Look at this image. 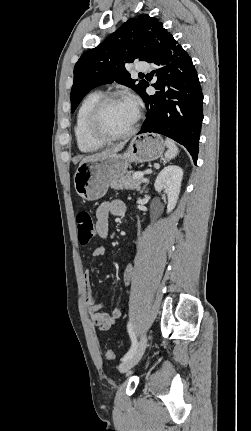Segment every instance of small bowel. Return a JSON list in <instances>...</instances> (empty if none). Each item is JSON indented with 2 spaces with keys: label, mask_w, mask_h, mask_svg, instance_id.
<instances>
[{
  "label": "small bowel",
  "mask_w": 251,
  "mask_h": 431,
  "mask_svg": "<svg viewBox=\"0 0 251 431\" xmlns=\"http://www.w3.org/2000/svg\"><path fill=\"white\" fill-rule=\"evenodd\" d=\"M126 212L124 202L114 200L104 202L96 210V231L100 238L107 239L109 236V219L113 217H121ZM106 249L104 246H98L94 249L92 257L96 261L84 273L83 294L86 309L91 320V323L101 331L110 330L122 316L123 304L117 305L111 313L104 311V306L92 295L90 286V275L94 268L101 266L100 259L105 255ZM132 276V265L128 264L124 272V282L130 284Z\"/></svg>",
  "instance_id": "obj_1"
}]
</instances>
